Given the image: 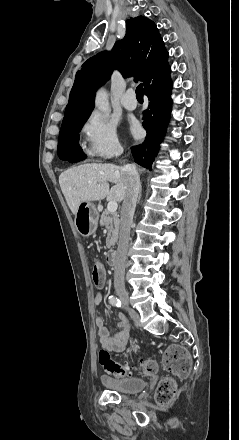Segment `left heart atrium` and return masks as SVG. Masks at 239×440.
Returning a JSON list of instances; mask_svg holds the SVG:
<instances>
[{"mask_svg":"<svg viewBox=\"0 0 239 440\" xmlns=\"http://www.w3.org/2000/svg\"><path fill=\"white\" fill-rule=\"evenodd\" d=\"M131 131L133 134H137L139 131V125L136 122L131 124Z\"/></svg>","mask_w":239,"mask_h":440,"instance_id":"1","label":"left heart atrium"}]
</instances>
